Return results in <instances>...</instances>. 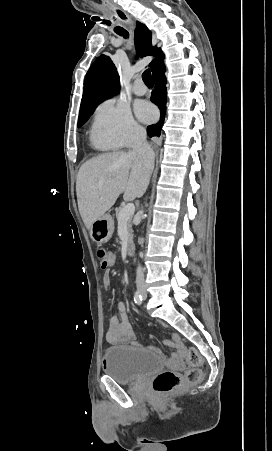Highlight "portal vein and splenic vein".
<instances>
[{
  "mask_svg": "<svg viewBox=\"0 0 272 451\" xmlns=\"http://www.w3.org/2000/svg\"><path fill=\"white\" fill-rule=\"evenodd\" d=\"M135 212L134 204H127L121 212H119L118 224H125L127 220H131L133 214Z\"/></svg>",
  "mask_w": 272,
  "mask_h": 451,
  "instance_id": "1",
  "label": "portal vein and splenic vein"
}]
</instances>
